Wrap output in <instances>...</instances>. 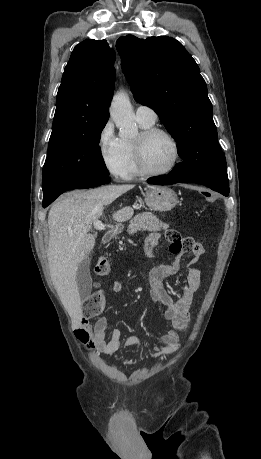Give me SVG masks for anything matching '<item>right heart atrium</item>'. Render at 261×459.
<instances>
[{
  "instance_id": "1",
  "label": "right heart atrium",
  "mask_w": 261,
  "mask_h": 459,
  "mask_svg": "<svg viewBox=\"0 0 261 459\" xmlns=\"http://www.w3.org/2000/svg\"><path fill=\"white\" fill-rule=\"evenodd\" d=\"M97 149L106 170L115 177H122L127 161L121 138L117 136L111 121L101 127L97 136Z\"/></svg>"
}]
</instances>
